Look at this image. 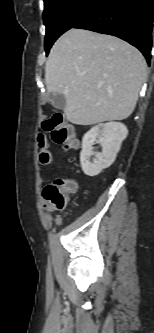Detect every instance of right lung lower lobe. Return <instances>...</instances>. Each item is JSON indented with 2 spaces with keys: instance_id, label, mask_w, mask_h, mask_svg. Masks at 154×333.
I'll return each mask as SVG.
<instances>
[{
  "instance_id": "1",
  "label": "right lung lower lobe",
  "mask_w": 154,
  "mask_h": 333,
  "mask_svg": "<svg viewBox=\"0 0 154 333\" xmlns=\"http://www.w3.org/2000/svg\"><path fill=\"white\" fill-rule=\"evenodd\" d=\"M153 0H99L72 28L119 37L138 48L150 64Z\"/></svg>"
}]
</instances>
